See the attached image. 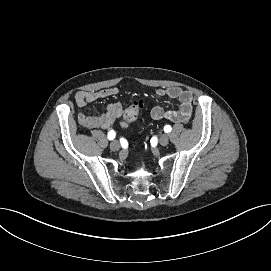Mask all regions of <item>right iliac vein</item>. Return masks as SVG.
Masks as SVG:
<instances>
[{
  "instance_id": "63e3f726",
  "label": "right iliac vein",
  "mask_w": 271,
  "mask_h": 271,
  "mask_svg": "<svg viewBox=\"0 0 271 271\" xmlns=\"http://www.w3.org/2000/svg\"><path fill=\"white\" fill-rule=\"evenodd\" d=\"M119 148H120V144L118 143V141H113V142H111V144H110V149L112 150V151H118L119 150Z\"/></svg>"
}]
</instances>
